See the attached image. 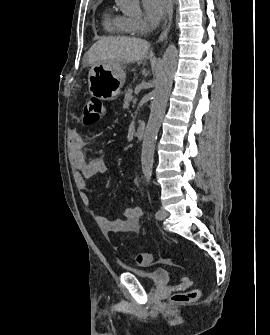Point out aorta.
I'll list each match as a JSON object with an SVG mask.
<instances>
[{
	"label": "aorta",
	"mask_w": 270,
	"mask_h": 335,
	"mask_svg": "<svg viewBox=\"0 0 270 335\" xmlns=\"http://www.w3.org/2000/svg\"><path fill=\"white\" fill-rule=\"evenodd\" d=\"M178 50L174 44L168 46L159 64L155 78V88L152 92L153 102L151 112L146 126L141 154V166L145 179L149 181L152 175L154 150L157 134L165 114L168 96L172 88L173 76L177 68Z\"/></svg>",
	"instance_id": "1"
}]
</instances>
